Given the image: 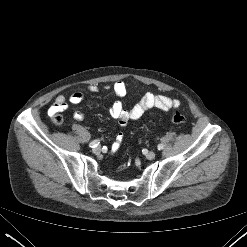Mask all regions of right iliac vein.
Returning a JSON list of instances; mask_svg holds the SVG:
<instances>
[{
    "label": "right iliac vein",
    "instance_id": "63e3f726",
    "mask_svg": "<svg viewBox=\"0 0 247 247\" xmlns=\"http://www.w3.org/2000/svg\"><path fill=\"white\" fill-rule=\"evenodd\" d=\"M92 151H93V153L98 154V153H100V151H101V147H100V146H96V147H94V148L92 149Z\"/></svg>",
    "mask_w": 247,
    "mask_h": 247
}]
</instances>
